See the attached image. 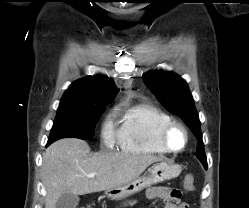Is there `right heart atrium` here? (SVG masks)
Returning a JSON list of instances; mask_svg holds the SVG:
<instances>
[{"mask_svg":"<svg viewBox=\"0 0 249 208\" xmlns=\"http://www.w3.org/2000/svg\"><path fill=\"white\" fill-rule=\"evenodd\" d=\"M101 137L106 147L112 148L119 140V131L115 126V112H111L105 118L102 129Z\"/></svg>","mask_w":249,"mask_h":208,"instance_id":"d8ad5b80","label":"right heart atrium"}]
</instances>
